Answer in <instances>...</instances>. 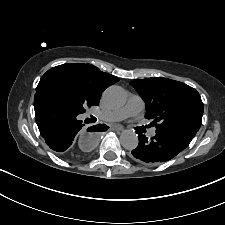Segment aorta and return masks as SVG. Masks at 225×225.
Returning <instances> with one entry per match:
<instances>
[{
  "mask_svg": "<svg viewBox=\"0 0 225 225\" xmlns=\"http://www.w3.org/2000/svg\"><path fill=\"white\" fill-rule=\"evenodd\" d=\"M104 100L111 108H119L125 105L127 96L123 88L119 86H111L104 92ZM121 145L132 150L138 146V136L132 130H124L120 135Z\"/></svg>",
  "mask_w": 225,
  "mask_h": 225,
  "instance_id": "obj_1",
  "label": "aorta"
}]
</instances>
